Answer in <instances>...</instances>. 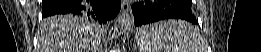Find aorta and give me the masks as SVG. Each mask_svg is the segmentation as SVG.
<instances>
[{
	"mask_svg": "<svg viewBox=\"0 0 261 52\" xmlns=\"http://www.w3.org/2000/svg\"><path fill=\"white\" fill-rule=\"evenodd\" d=\"M134 26V16L132 13H124L118 17L115 26L114 34L117 36L123 35Z\"/></svg>",
	"mask_w": 261,
	"mask_h": 52,
	"instance_id": "762f6f07",
	"label": "aorta"
}]
</instances>
